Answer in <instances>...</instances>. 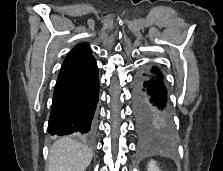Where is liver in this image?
Masks as SVG:
<instances>
[{"mask_svg": "<svg viewBox=\"0 0 223 171\" xmlns=\"http://www.w3.org/2000/svg\"><path fill=\"white\" fill-rule=\"evenodd\" d=\"M93 157L86 145L61 138L50 147L47 171H85Z\"/></svg>", "mask_w": 223, "mask_h": 171, "instance_id": "obj_1", "label": "liver"}]
</instances>
